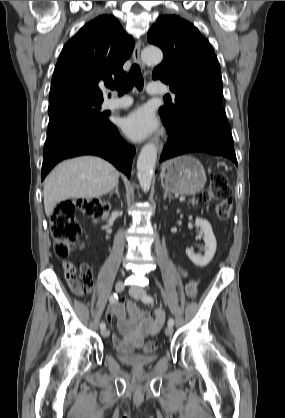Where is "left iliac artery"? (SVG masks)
I'll list each match as a JSON object with an SVG mask.
<instances>
[{"instance_id":"1","label":"left iliac artery","mask_w":285,"mask_h":418,"mask_svg":"<svg viewBox=\"0 0 285 418\" xmlns=\"http://www.w3.org/2000/svg\"><path fill=\"white\" fill-rule=\"evenodd\" d=\"M143 302H145V303H153L154 302V298L152 297V296H145V297H143ZM173 324H174V320L172 319V318H169V320H168V326H173Z\"/></svg>"}]
</instances>
